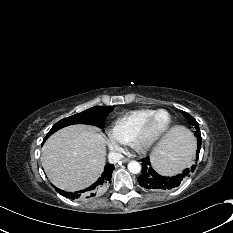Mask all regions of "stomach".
Instances as JSON below:
<instances>
[{
	"label": "stomach",
	"mask_w": 233,
	"mask_h": 233,
	"mask_svg": "<svg viewBox=\"0 0 233 233\" xmlns=\"http://www.w3.org/2000/svg\"><path fill=\"white\" fill-rule=\"evenodd\" d=\"M154 167L161 173H168L167 168H165L161 163L154 161Z\"/></svg>",
	"instance_id": "stomach-1"
}]
</instances>
